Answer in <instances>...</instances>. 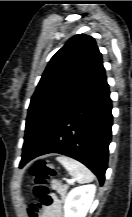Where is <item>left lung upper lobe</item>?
<instances>
[{"label":"left lung upper lobe","mask_w":132,"mask_h":217,"mask_svg":"<svg viewBox=\"0 0 132 217\" xmlns=\"http://www.w3.org/2000/svg\"><path fill=\"white\" fill-rule=\"evenodd\" d=\"M102 65L101 53L94 38L85 34L70 38L51 58L31 98L23 153L34 150Z\"/></svg>","instance_id":"left-lung-upper-lobe-1"}]
</instances>
